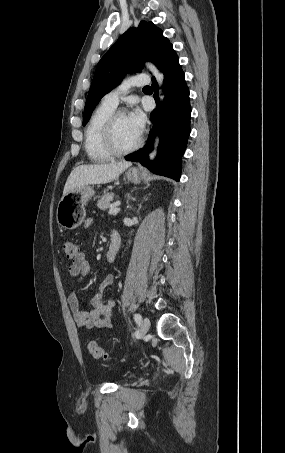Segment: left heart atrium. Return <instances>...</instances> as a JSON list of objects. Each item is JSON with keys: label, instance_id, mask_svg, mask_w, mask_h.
Listing matches in <instances>:
<instances>
[{"label": "left heart atrium", "instance_id": "39dd6f15", "mask_svg": "<svg viewBox=\"0 0 285 453\" xmlns=\"http://www.w3.org/2000/svg\"><path fill=\"white\" fill-rule=\"evenodd\" d=\"M136 129L142 133L145 126V115L140 108H134L128 115Z\"/></svg>", "mask_w": 285, "mask_h": 453}]
</instances>
